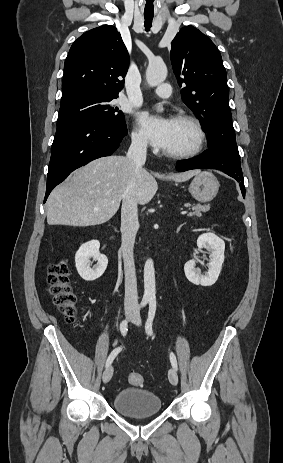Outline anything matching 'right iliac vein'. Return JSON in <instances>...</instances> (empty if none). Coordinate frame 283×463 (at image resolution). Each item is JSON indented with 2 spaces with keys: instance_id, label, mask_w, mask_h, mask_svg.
Returning a JSON list of instances; mask_svg holds the SVG:
<instances>
[{
  "instance_id": "right-iliac-vein-1",
  "label": "right iliac vein",
  "mask_w": 283,
  "mask_h": 463,
  "mask_svg": "<svg viewBox=\"0 0 283 463\" xmlns=\"http://www.w3.org/2000/svg\"><path fill=\"white\" fill-rule=\"evenodd\" d=\"M131 315H132V311L128 310L126 312V316L130 317ZM112 376H113V366H108L103 373V382L108 383L111 380Z\"/></svg>"
}]
</instances>
